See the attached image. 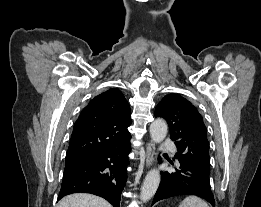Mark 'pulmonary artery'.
<instances>
[{
    "label": "pulmonary artery",
    "instance_id": "e3ab8cb5",
    "mask_svg": "<svg viewBox=\"0 0 261 207\" xmlns=\"http://www.w3.org/2000/svg\"><path fill=\"white\" fill-rule=\"evenodd\" d=\"M162 148L167 149V150H174L175 146L172 141H170L169 139H166L162 143Z\"/></svg>",
    "mask_w": 261,
    "mask_h": 207
}]
</instances>
